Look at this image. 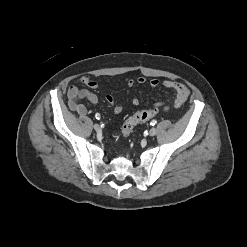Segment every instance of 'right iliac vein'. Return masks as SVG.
I'll use <instances>...</instances> for the list:
<instances>
[{"mask_svg": "<svg viewBox=\"0 0 247 247\" xmlns=\"http://www.w3.org/2000/svg\"><path fill=\"white\" fill-rule=\"evenodd\" d=\"M95 131L99 132L101 130L100 126L98 124H94Z\"/></svg>", "mask_w": 247, "mask_h": 247, "instance_id": "right-iliac-vein-1", "label": "right iliac vein"}]
</instances>
